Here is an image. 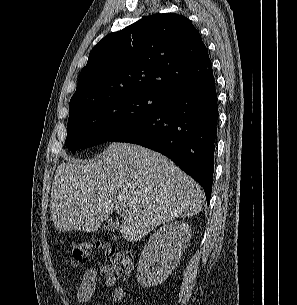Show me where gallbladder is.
Wrapping results in <instances>:
<instances>
[{"label": "gallbladder", "mask_w": 297, "mask_h": 305, "mask_svg": "<svg viewBox=\"0 0 297 305\" xmlns=\"http://www.w3.org/2000/svg\"><path fill=\"white\" fill-rule=\"evenodd\" d=\"M119 227V223L114 220H109L103 225L104 230H116Z\"/></svg>", "instance_id": "obj_1"}]
</instances>
